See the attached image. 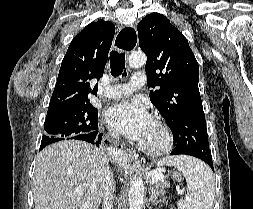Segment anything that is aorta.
Wrapping results in <instances>:
<instances>
[{
  "label": "aorta",
  "mask_w": 253,
  "mask_h": 209,
  "mask_svg": "<svg viewBox=\"0 0 253 209\" xmlns=\"http://www.w3.org/2000/svg\"><path fill=\"white\" fill-rule=\"evenodd\" d=\"M128 62L130 67L140 68L146 63V55L141 52H134L129 56ZM128 197L129 209H143L144 184L140 177L132 180Z\"/></svg>",
  "instance_id": "1"
}]
</instances>
